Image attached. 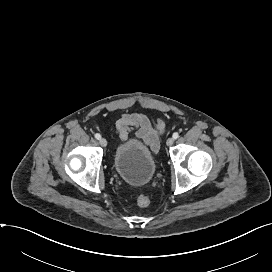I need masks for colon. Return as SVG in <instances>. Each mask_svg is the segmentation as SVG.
<instances>
[{"instance_id":"5ec220e1","label":"colon","mask_w":272,"mask_h":272,"mask_svg":"<svg viewBox=\"0 0 272 272\" xmlns=\"http://www.w3.org/2000/svg\"><path fill=\"white\" fill-rule=\"evenodd\" d=\"M136 202L142 208L147 207L150 203L149 198L143 194L138 195Z\"/></svg>"}]
</instances>
